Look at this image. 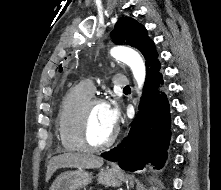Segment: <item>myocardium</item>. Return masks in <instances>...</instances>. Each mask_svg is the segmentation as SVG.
I'll return each instance as SVG.
<instances>
[{
    "label": "myocardium",
    "instance_id": "myocardium-1",
    "mask_svg": "<svg viewBox=\"0 0 221 190\" xmlns=\"http://www.w3.org/2000/svg\"><path fill=\"white\" fill-rule=\"evenodd\" d=\"M107 105L106 101L99 97H91L79 110L76 120V137L82 150L96 152L109 148L114 144L118 136V130L114 129L111 136L100 144H92L88 138V121L92 108L96 105Z\"/></svg>",
    "mask_w": 221,
    "mask_h": 190
}]
</instances>
